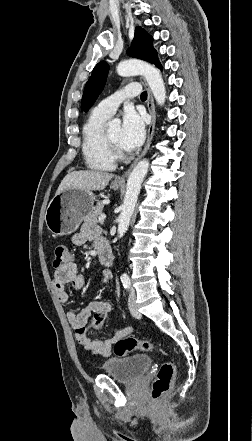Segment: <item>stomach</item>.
Segmentation results:
<instances>
[{
    "label": "stomach",
    "instance_id": "1",
    "mask_svg": "<svg viewBox=\"0 0 252 441\" xmlns=\"http://www.w3.org/2000/svg\"><path fill=\"white\" fill-rule=\"evenodd\" d=\"M112 189L120 185L113 183ZM96 195L92 191L67 189L56 194L46 209L45 222L54 236L73 233L93 210Z\"/></svg>",
    "mask_w": 252,
    "mask_h": 441
}]
</instances>
